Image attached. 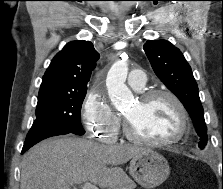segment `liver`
I'll return each instance as SVG.
<instances>
[{"label":"liver","instance_id":"1","mask_svg":"<svg viewBox=\"0 0 223 189\" xmlns=\"http://www.w3.org/2000/svg\"><path fill=\"white\" fill-rule=\"evenodd\" d=\"M144 151L138 146L103 145L68 136L50 138L24 155L20 189H71L86 182L126 189L129 178L119 165Z\"/></svg>","mask_w":223,"mask_h":189}]
</instances>
